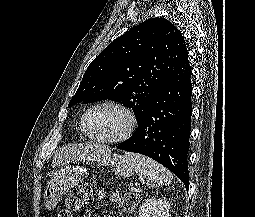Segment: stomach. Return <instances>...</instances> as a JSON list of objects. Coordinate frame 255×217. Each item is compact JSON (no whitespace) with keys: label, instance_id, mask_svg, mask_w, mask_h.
Masks as SVG:
<instances>
[{"label":"stomach","instance_id":"stomach-1","mask_svg":"<svg viewBox=\"0 0 255 217\" xmlns=\"http://www.w3.org/2000/svg\"><path fill=\"white\" fill-rule=\"evenodd\" d=\"M100 159L101 163L109 165L117 176L129 177L134 172V168L126 156L113 154L112 159L110 156H103ZM86 175L87 172L79 165L62 166L53 174L45 188L43 197L46 209H54L66 192L77 185Z\"/></svg>","mask_w":255,"mask_h":217}]
</instances>
